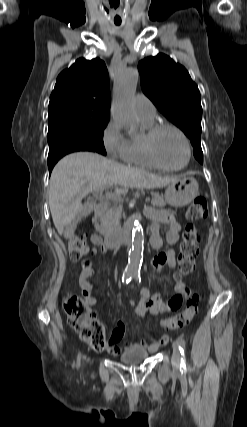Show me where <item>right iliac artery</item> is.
Masks as SVG:
<instances>
[{
  "label": "right iliac artery",
  "mask_w": 247,
  "mask_h": 427,
  "mask_svg": "<svg viewBox=\"0 0 247 427\" xmlns=\"http://www.w3.org/2000/svg\"><path fill=\"white\" fill-rule=\"evenodd\" d=\"M131 279H132V275H130V274L123 275L122 282L125 283V284H128L131 281ZM80 358H81V355L79 354L78 358H77V363H76L77 367L80 366Z\"/></svg>",
  "instance_id": "right-iliac-artery-1"
}]
</instances>
